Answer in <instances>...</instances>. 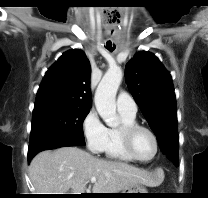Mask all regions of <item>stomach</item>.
Listing matches in <instances>:
<instances>
[{"label": "stomach", "mask_w": 208, "mask_h": 198, "mask_svg": "<svg viewBox=\"0 0 208 198\" xmlns=\"http://www.w3.org/2000/svg\"><path fill=\"white\" fill-rule=\"evenodd\" d=\"M120 194V197L122 198H143L146 194L142 193H148L147 189L142 186L141 184L133 185L127 189L122 190Z\"/></svg>", "instance_id": "stomach-1"}]
</instances>
